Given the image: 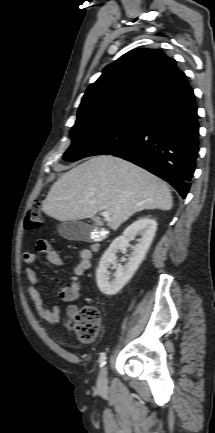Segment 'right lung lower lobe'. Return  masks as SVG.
I'll use <instances>...</instances> for the list:
<instances>
[{
    "label": "right lung lower lobe",
    "instance_id": "obj_1",
    "mask_svg": "<svg viewBox=\"0 0 215 433\" xmlns=\"http://www.w3.org/2000/svg\"><path fill=\"white\" fill-rule=\"evenodd\" d=\"M138 135L108 155L128 160L169 182L185 198L199 151V123L192 88L150 108Z\"/></svg>",
    "mask_w": 215,
    "mask_h": 433
}]
</instances>
